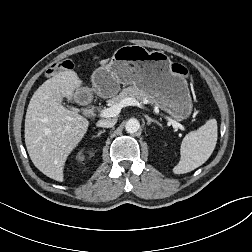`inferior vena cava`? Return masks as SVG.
Masks as SVG:
<instances>
[{
  "label": "inferior vena cava",
  "instance_id": "inferior-vena-cava-1",
  "mask_svg": "<svg viewBox=\"0 0 252 252\" xmlns=\"http://www.w3.org/2000/svg\"><path fill=\"white\" fill-rule=\"evenodd\" d=\"M116 122L117 121L115 119H103L98 121L97 126L111 128L116 124Z\"/></svg>",
  "mask_w": 252,
  "mask_h": 252
}]
</instances>
